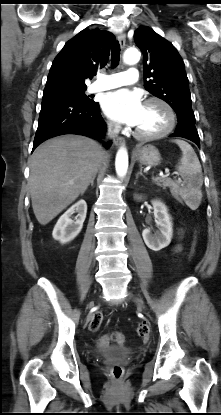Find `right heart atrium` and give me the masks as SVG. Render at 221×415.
Returning <instances> with one entry per match:
<instances>
[{"mask_svg": "<svg viewBox=\"0 0 221 415\" xmlns=\"http://www.w3.org/2000/svg\"><path fill=\"white\" fill-rule=\"evenodd\" d=\"M107 124H108L109 129L113 132L117 131L118 128H119L118 124L115 123L114 121L110 120V121L107 122Z\"/></svg>", "mask_w": 221, "mask_h": 415, "instance_id": "obj_1", "label": "right heart atrium"}]
</instances>
